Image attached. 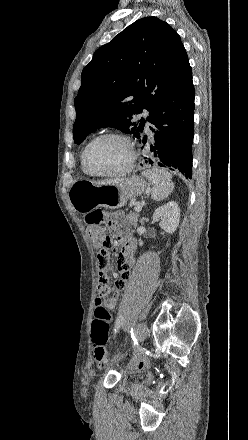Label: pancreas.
I'll use <instances>...</instances> for the list:
<instances>
[{"label":"pancreas","instance_id":"cf45deb5","mask_svg":"<svg viewBox=\"0 0 248 440\" xmlns=\"http://www.w3.org/2000/svg\"><path fill=\"white\" fill-rule=\"evenodd\" d=\"M138 217L139 214L137 212H130L127 216V219L134 227H137Z\"/></svg>","mask_w":248,"mask_h":440}]
</instances>
